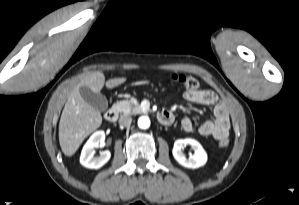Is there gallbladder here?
Listing matches in <instances>:
<instances>
[{
	"instance_id": "bac80fb5",
	"label": "gallbladder",
	"mask_w": 299,
	"mask_h": 205,
	"mask_svg": "<svg viewBox=\"0 0 299 205\" xmlns=\"http://www.w3.org/2000/svg\"><path fill=\"white\" fill-rule=\"evenodd\" d=\"M80 94L83 99L98 111H105L108 108V101L101 93H95L87 87H80Z\"/></svg>"
}]
</instances>
